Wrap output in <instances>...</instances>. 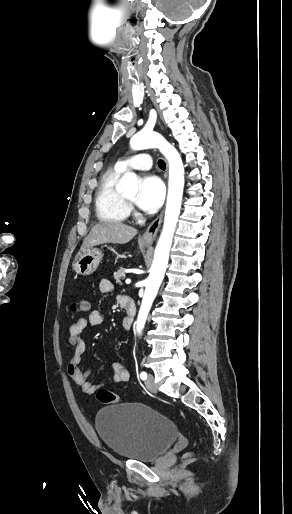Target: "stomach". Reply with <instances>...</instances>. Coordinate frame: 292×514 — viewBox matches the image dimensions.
<instances>
[{
    "label": "stomach",
    "instance_id": "stomach-1",
    "mask_svg": "<svg viewBox=\"0 0 292 514\" xmlns=\"http://www.w3.org/2000/svg\"><path fill=\"white\" fill-rule=\"evenodd\" d=\"M144 246H150L152 242H142ZM103 258L102 252L98 248H87V250H81L73 260V270L80 276H90L95 270H97L101 260Z\"/></svg>",
    "mask_w": 292,
    "mask_h": 514
}]
</instances>
